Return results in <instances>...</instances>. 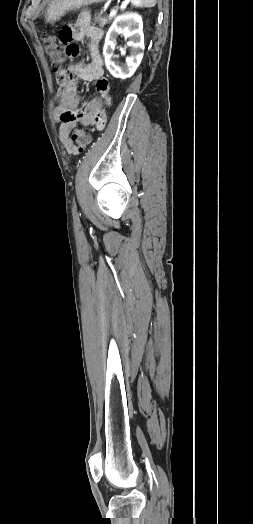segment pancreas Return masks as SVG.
<instances>
[{"label": "pancreas", "instance_id": "pancreas-1", "mask_svg": "<svg viewBox=\"0 0 253 524\" xmlns=\"http://www.w3.org/2000/svg\"><path fill=\"white\" fill-rule=\"evenodd\" d=\"M114 17H103L102 13L95 15V23H98L100 27H104L106 24L110 23Z\"/></svg>", "mask_w": 253, "mask_h": 524}]
</instances>
